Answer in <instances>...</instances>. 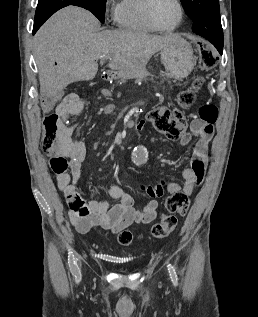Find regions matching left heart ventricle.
I'll return each instance as SVG.
<instances>
[{
	"instance_id": "1",
	"label": "left heart ventricle",
	"mask_w": 258,
	"mask_h": 317,
	"mask_svg": "<svg viewBox=\"0 0 258 317\" xmlns=\"http://www.w3.org/2000/svg\"><path fill=\"white\" fill-rule=\"evenodd\" d=\"M151 16L157 26L169 28L178 20V4L175 0H156L151 9Z\"/></svg>"
}]
</instances>
